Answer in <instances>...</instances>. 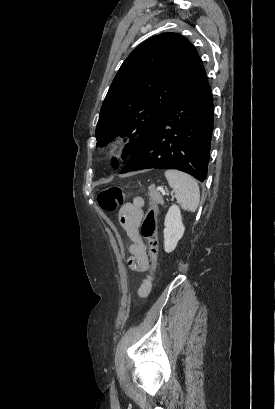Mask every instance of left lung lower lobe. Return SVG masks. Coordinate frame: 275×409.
Returning <instances> with one entry per match:
<instances>
[{"label":"left lung lower lobe","mask_w":275,"mask_h":409,"mask_svg":"<svg viewBox=\"0 0 275 409\" xmlns=\"http://www.w3.org/2000/svg\"><path fill=\"white\" fill-rule=\"evenodd\" d=\"M214 122L208 77L178 99L159 119L120 171L177 169L207 178Z\"/></svg>","instance_id":"1"}]
</instances>
